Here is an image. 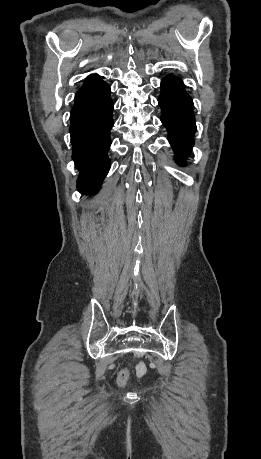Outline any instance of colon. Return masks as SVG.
Returning <instances> with one entry per match:
<instances>
[{"instance_id": "obj_1", "label": "colon", "mask_w": 261, "mask_h": 459, "mask_svg": "<svg viewBox=\"0 0 261 459\" xmlns=\"http://www.w3.org/2000/svg\"><path fill=\"white\" fill-rule=\"evenodd\" d=\"M128 377H129V372L127 369H123L119 375H118V378H117V383L119 386H123L125 385V383L127 382L128 380Z\"/></svg>"}]
</instances>
